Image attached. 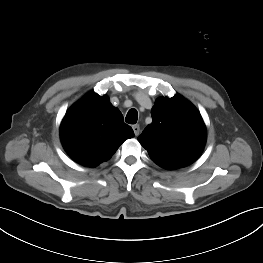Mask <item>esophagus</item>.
Masks as SVG:
<instances>
[{"instance_id": "34e87169", "label": "esophagus", "mask_w": 263, "mask_h": 263, "mask_svg": "<svg viewBox=\"0 0 263 263\" xmlns=\"http://www.w3.org/2000/svg\"><path fill=\"white\" fill-rule=\"evenodd\" d=\"M132 128H133L134 134H135L136 136H138L139 133H140V127H139V125H137V124H136V125H133Z\"/></svg>"}]
</instances>
